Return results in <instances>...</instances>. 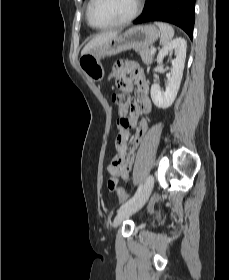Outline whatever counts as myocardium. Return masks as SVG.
Segmentation results:
<instances>
[{
	"instance_id": "myocardium-1",
	"label": "myocardium",
	"mask_w": 229,
	"mask_h": 280,
	"mask_svg": "<svg viewBox=\"0 0 229 280\" xmlns=\"http://www.w3.org/2000/svg\"><path fill=\"white\" fill-rule=\"evenodd\" d=\"M97 3H98V0H92V4H91L89 12H88V22H89L90 26L95 29H108V28L119 27V26L129 24L140 14V12L143 8V0H136L135 8L128 17H126L122 20L116 21V22L109 23V24L97 25L93 21V11H94Z\"/></svg>"
}]
</instances>
